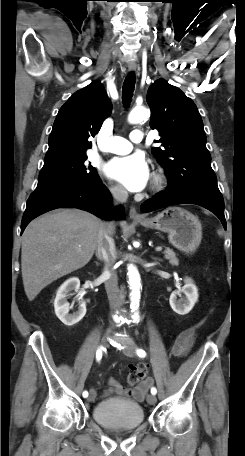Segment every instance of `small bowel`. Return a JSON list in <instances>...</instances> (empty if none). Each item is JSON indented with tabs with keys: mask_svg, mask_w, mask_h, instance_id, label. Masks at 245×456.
I'll list each match as a JSON object with an SVG mask.
<instances>
[{
	"mask_svg": "<svg viewBox=\"0 0 245 456\" xmlns=\"http://www.w3.org/2000/svg\"><path fill=\"white\" fill-rule=\"evenodd\" d=\"M199 324L188 327L180 332L176 340L171 346V353L175 357H182L186 355L191 349L195 337L196 331ZM153 380L151 378L146 379L138 386L128 389L124 388L115 379H109V388L105 391L104 395L117 394L120 396H131L137 400H142L147 393L148 389L152 386Z\"/></svg>",
	"mask_w": 245,
	"mask_h": 456,
	"instance_id": "c3829d8e",
	"label": "small bowel"
}]
</instances>
